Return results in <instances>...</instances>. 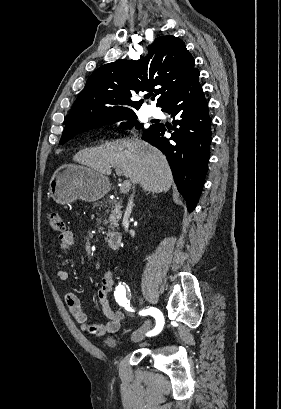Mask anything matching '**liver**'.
<instances>
[{
    "label": "liver",
    "mask_w": 281,
    "mask_h": 409,
    "mask_svg": "<svg viewBox=\"0 0 281 409\" xmlns=\"http://www.w3.org/2000/svg\"><path fill=\"white\" fill-rule=\"evenodd\" d=\"M74 160L95 168L101 174H111L112 166L122 170L133 184H140L143 190L167 192L173 178L168 162L155 146L139 138H119L106 146L84 148Z\"/></svg>",
    "instance_id": "6515ba94"
}]
</instances>
